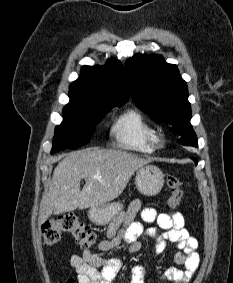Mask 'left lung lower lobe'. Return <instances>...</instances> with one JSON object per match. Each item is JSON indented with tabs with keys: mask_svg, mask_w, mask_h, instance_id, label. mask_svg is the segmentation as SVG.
<instances>
[{
	"mask_svg": "<svg viewBox=\"0 0 233 283\" xmlns=\"http://www.w3.org/2000/svg\"><path fill=\"white\" fill-rule=\"evenodd\" d=\"M195 161V164H197V160L195 158H192Z\"/></svg>",
	"mask_w": 233,
	"mask_h": 283,
	"instance_id": "0a47b994",
	"label": "left lung lower lobe"
}]
</instances>
